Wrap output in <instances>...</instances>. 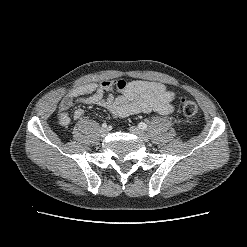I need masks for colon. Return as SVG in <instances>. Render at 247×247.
Wrapping results in <instances>:
<instances>
[{
    "label": "colon",
    "instance_id": "colon-1",
    "mask_svg": "<svg viewBox=\"0 0 247 247\" xmlns=\"http://www.w3.org/2000/svg\"><path fill=\"white\" fill-rule=\"evenodd\" d=\"M181 110L186 117L193 118L198 113V106L192 100L182 98L180 100Z\"/></svg>",
    "mask_w": 247,
    "mask_h": 247
}]
</instances>
